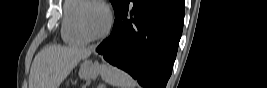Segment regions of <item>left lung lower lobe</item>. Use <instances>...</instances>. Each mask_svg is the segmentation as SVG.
Listing matches in <instances>:
<instances>
[{"instance_id": "0a47b994", "label": "left lung lower lobe", "mask_w": 267, "mask_h": 88, "mask_svg": "<svg viewBox=\"0 0 267 88\" xmlns=\"http://www.w3.org/2000/svg\"><path fill=\"white\" fill-rule=\"evenodd\" d=\"M183 16L181 0H126L115 14L111 35L96 51L144 88H165L176 58Z\"/></svg>"}]
</instances>
